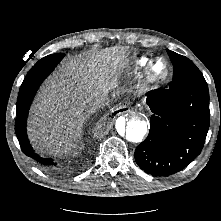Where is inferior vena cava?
<instances>
[{
    "label": "inferior vena cava",
    "mask_w": 221,
    "mask_h": 221,
    "mask_svg": "<svg viewBox=\"0 0 221 221\" xmlns=\"http://www.w3.org/2000/svg\"><path fill=\"white\" fill-rule=\"evenodd\" d=\"M109 104V98L105 96H101L96 98L92 103V111H96L97 109L103 108Z\"/></svg>",
    "instance_id": "obj_1"
}]
</instances>
